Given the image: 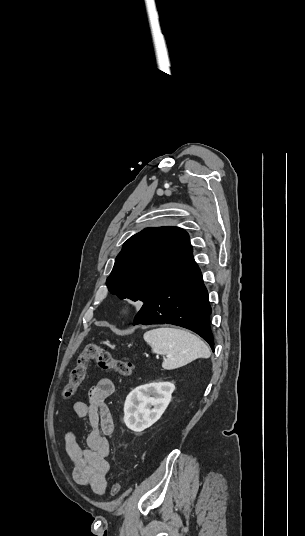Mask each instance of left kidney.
I'll return each mask as SVG.
<instances>
[{"label": "left kidney", "instance_id": "left-kidney-1", "mask_svg": "<svg viewBox=\"0 0 305 536\" xmlns=\"http://www.w3.org/2000/svg\"><path fill=\"white\" fill-rule=\"evenodd\" d=\"M174 390L175 386L171 382H153L132 390L124 404V422L127 428L133 432H143L155 424L170 404Z\"/></svg>", "mask_w": 305, "mask_h": 536}]
</instances>
